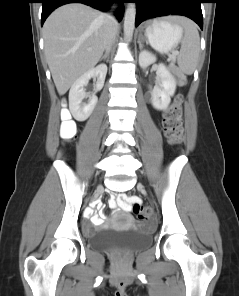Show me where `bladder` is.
<instances>
[{
  "label": "bladder",
  "instance_id": "bladder-1",
  "mask_svg": "<svg viewBox=\"0 0 239 296\" xmlns=\"http://www.w3.org/2000/svg\"><path fill=\"white\" fill-rule=\"evenodd\" d=\"M90 245L103 251L116 249L139 250L151 244V234L139 230L137 227H130L125 230L115 228H100L88 235Z\"/></svg>",
  "mask_w": 239,
  "mask_h": 296
}]
</instances>
